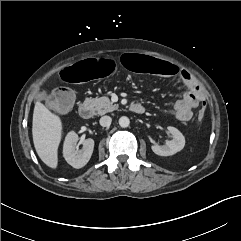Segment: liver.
<instances>
[{
  "mask_svg": "<svg viewBox=\"0 0 241 241\" xmlns=\"http://www.w3.org/2000/svg\"><path fill=\"white\" fill-rule=\"evenodd\" d=\"M33 143L40 159L50 168L58 165V146L62 136V122L41 102L35 103L32 122Z\"/></svg>",
  "mask_w": 241,
  "mask_h": 241,
  "instance_id": "6515ba94",
  "label": "liver"
}]
</instances>
